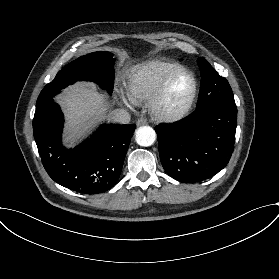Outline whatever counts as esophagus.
I'll use <instances>...</instances> for the list:
<instances>
[{
  "instance_id": "1",
  "label": "esophagus",
  "mask_w": 279,
  "mask_h": 279,
  "mask_svg": "<svg viewBox=\"0 0 279 279\" xmlns=\"http://www.w3.org/2000/svg\"><path fill=\"white\" fill-rule=\"evenodd\" d=\"M145 124H147V120H146L145 118H139V119L137 120V125H138V126H143V125H145Z\"/></svg>"
}]
</instances>
